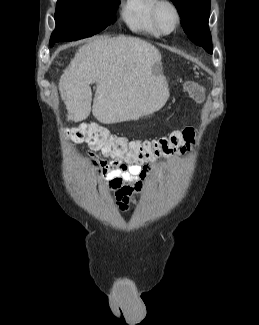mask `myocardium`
I'll list each match as a JSON object with an SVG mask.
<instances>
[{
	"label": "myocardium",
	"instance_id": "1",
	"mask_svg": "<svg viewBox=\"0 0 259 325\" xmlns=\"http://www.w3.org/2000/svg\"><path fill=\"white\" fill-rule=\"evenodd\" d=\"M162 6H169L174 14H175V24L173 26V28L169 31H165L161 28L160 23H159V19H158V12L160 10V8ZM151 18H152V22L155 26V28L158 30V32L161 35H169L173 32H175L177 30V28L179 27L180 23H181V11L178 7V5L171 0H156V3L154 4L152 11H151Z\"/></svg>",
	"mask_w": 259,
	"mask_h": 325
}]
</instances>
